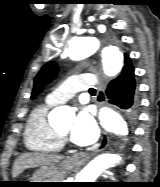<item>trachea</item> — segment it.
<instances>
[{
    "label": "trachea",
    "mask_w": 160,
    "mask_h": 187,
    "mask_svg": "<svg viewBox=\"0 0 160 187\" xmlns=\"http://www.w3.org/2000/svg\"><path fill=\"white\" fill-rule=\"evenodd\" d=\"M95 91H96V90H95L94 88H90V89H89V92H90V93H93V92H95Z\"/></svg>",
    "instance_id": "3493384b"
}]
</instances>
